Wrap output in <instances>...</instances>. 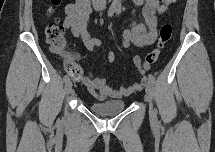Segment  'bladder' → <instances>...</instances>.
Wrapping results in <instances>:
<instances>
[{"mask_svg":"<svg viewBox=\"0 0 215 152\" xmlns=\"http://www.w3.org/2000/svg\"><path fill=\"white\" fill-rule=\"evenodd\" d=\"M126 107V102L122 100H104L93 102L90 109L99 116H111L122 112Z\"/></svg>","mask_w":215,"mask_h":152,"instance_id":"1","label":"bladder"}]
</instances>
